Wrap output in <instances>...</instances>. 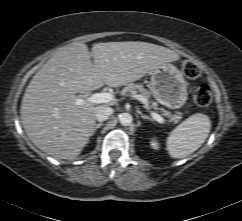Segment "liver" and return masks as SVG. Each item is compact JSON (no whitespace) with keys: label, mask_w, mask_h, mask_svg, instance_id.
<instances>
[{"label":"liver","mask_w":242,"mask_h":221,"mask_svg":"<svg viewBox=\"0 0 242 221\" xmlns=\"http://www.w3.org/2000/svg\"><path fill=\"white\" fill-rule=\"evenodd\" d=\"M92 56L93 63L82 42L62 47L33 76L22 98L26 134L55 159L74 160L93 134L96 106L79 104L76 94L104 84L127 85L180 58L166 47L138 41L97 43Z\"/></svg>","instance_id":"obj_1"}]
</instances>
